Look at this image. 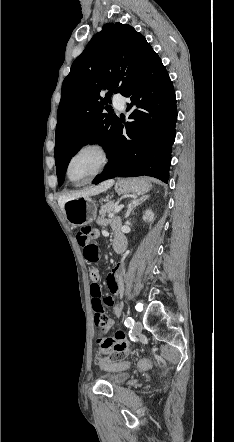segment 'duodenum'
<instances>
[{
  "mask_svg": "<svg viewBox=\"0 0 234 442\" xmlns=\"http://www.w3.org/2000/svg\"><path fill=\"white\" fill-rule=\"evenodd\" d=\"M113 249L115 253L121 254L125 250V241L121 236H116L113 242Z\"/></svg>",
  "mask_w": 234,
  "mask_h": 442,
  "instance_id": "410a0bca",
  "label": "duodenum"
}]
</instances>
